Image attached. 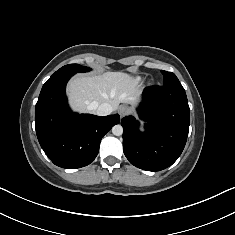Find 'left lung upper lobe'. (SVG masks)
<instances>
[{
    "instance_id": "5c2ea615",
    "label": "left lung upper lobe",
    "mask_w": 235,
    "mask_h": 235,
    "mask_svg": "<svg viewBox=\"0 0 235 235\" xmlns=\"http://www.w3.org/2000/svg\"><path fill=\"white\" fill-rule=\"evenodd\" d=\"M163 76H164V80H163V85H181L178 78L176 77V75L172 72H167L164 70H161Z\"/></svg>"
}]
</instances>
